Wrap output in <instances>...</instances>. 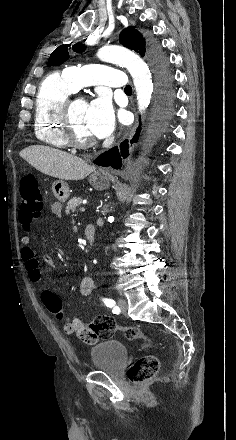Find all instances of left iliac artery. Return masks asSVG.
I'll return each instance as SVG.
<instances>
[{
	"label": "left iliac artery",
	"mask_w": 236,
	"mask_h": 440,
	"mask_svg": "<svg viewBox=\"0 0 236 440\" xmlns=\"http://www.w3.org/2000/svg\"><path fill=\"white\" fill-rule=\"evenodd\" d=\"M102 300L104 301V303L107 307L113 308V310H112L113 313L116 314L120 311L119 308L116 306V303L113 299L103 298Z\"/></svg>",
	"instance_id": "1"
}]
</instances>
